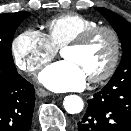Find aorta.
Returning <instances> with one entry per match:
<instances>
[{"mask_svg": "<svg viewBox=\"0 0 131 131\" xmlns=\"http://www.w3.org/2000/svg\"><path fill=\"white\" fill-rule=\"evenodd\" d=\"M63 105L69 114H78L83 110L84 107L83 100L78 95L66 96Z\"/></svg>", "mask_w": 131, "mask_h": 131, "instance_id": "aorta-1", "label": "aorta"}]
</instances>
